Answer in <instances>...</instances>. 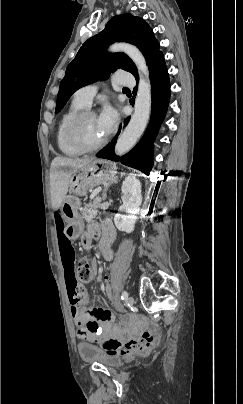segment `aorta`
I'll return each mask as SVG.
<instances>
[{
	"label": "aorta",
	"instance_id": "aorta-1",
	"mask_svg": "<svg viewBox=\"0 0 243 404\" xmlns=\"http://www.w3.org/2000/svg\"><path fill=\"white\" fill-rule=\"evenodd\" d=\"M109 52H124L127 54L138 68L140 74L138 92L135 100L134 114L123 134L117 140L115 154L124 156L132 150L137 140L142 136L150 116L151 110V86L147 78L148 68L145 58L136 46L131 44H113Z\"/></svg>",
	"mask_w": 243,
	"mask_h": 404
}]
</instances>
